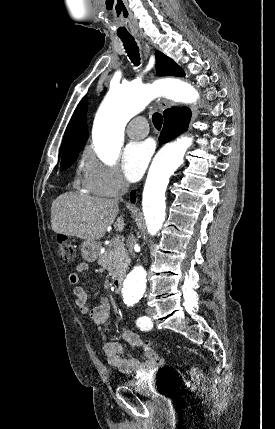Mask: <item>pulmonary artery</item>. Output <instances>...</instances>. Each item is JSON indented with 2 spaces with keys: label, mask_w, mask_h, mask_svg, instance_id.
I'll use <instances>...</instances> for the list:
<instances>
[{
  "label": "pulmonary artery",
  "mask_w": 275,
  "mask_h": 429,
  "mask_svg": "<svg viewBox=\"0 0 275 429\" xmlns=\"http://www.w3.org/2000/svg\"><path fill=\"white\" fill-rule=\"evenodd\" d=\"M148 123L144 117L134 118L127 126V134L133 139H141L148 134Z\"/></svg>",
  "instance_id": "pulmonary-artery-1"
}]
</instances>
